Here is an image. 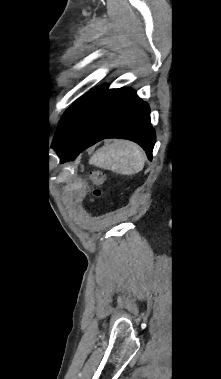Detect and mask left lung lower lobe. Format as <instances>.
<instances>
[{"instance_id":"1","label":"left lung lower lobe","mask_w":221,"mask_h":379,"mask_svg":"<svg viewBox=\"0 0 221 379\" xmlns=\"http://www.w3.org/2000/svg\"><path fill=\"white\" fill-rule=\"evenodd\" d=\"M105 138L135 141L152 159L155 132L150 123V109L134 90L106 89L57 151L61 163L74 159L85 148Z\"/></svg>"}]
</instances>
